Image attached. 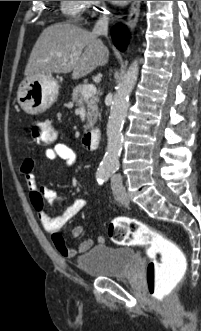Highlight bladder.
<instances>
[{
  "mask_svg": "<svg viewBox=\"0 0 201 331\" xmlns=\"http://www.w3.org/2000/svg\"><path fill=\"white\" fill-rule=\"evenodd\" d=\"M135 261V252L127 247L98 244L79 256L76 264L80 271L92 278L125 277Z\"/></svg>",
  "mask_w": 201,
  "mask_h": 331,
  "instance_id": "31cf9c89",
  "label": "bladder"
}]
</instances>
